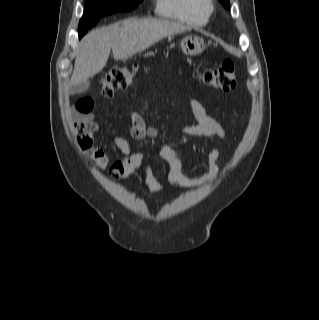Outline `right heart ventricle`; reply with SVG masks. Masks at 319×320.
<instances>
[{"instance_id":"right-heart-ventricle-1","label":"right heart ventricle","mask_w":319,"mask_h":320,"mask_svg":"<svg viewBox=\"0 0 319 320\" xmlns=\"http://www.w3.org/2000/svg\"><path fill=\"white\" fill-rule=\"evenodd\" d=\"M159 16L193 26L205 25L212 12L211 0H156Z\"/></svg>"}]
</instances>
